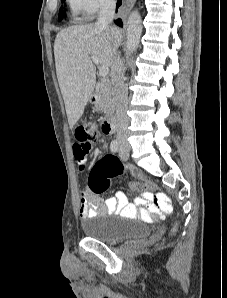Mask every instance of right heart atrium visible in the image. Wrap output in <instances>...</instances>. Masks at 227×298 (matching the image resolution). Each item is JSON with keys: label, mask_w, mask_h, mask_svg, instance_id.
Returning a JSON list of instances; mask_svg holds the SVG:
<instances>
[{"label": "right heart atrium", "mask_w": 227, "mask_h": 298, "mask_svg": "<svg viewBox=\"0 0 227 298\" xmlns=\"http://www.w3.org/2000/svg\"><path fill=\"white\" fill-rule=\"evenodd\" d=\"M69 3L74 11L82 12L91 17L112 8L115 0H69Z\"/></svg>", "instance_id": "right-heart-atrium-1"}]
</instances>
